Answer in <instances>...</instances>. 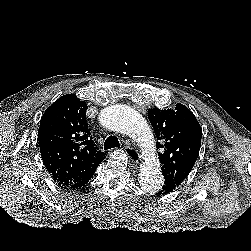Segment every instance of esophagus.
I'll return each mask as SVG.
<instances>
[{
  "mask_svg": "<svg viewBox=\"0 0 251 251\" xmlns=\"http://www.w3.org/2000/svg\"><path fill=\"white\" fill-rule=\"evenodd\" d=\"M124 150L128 156V158L133 162L138 164L139 160H140V155L138 153L137 150H135L133 147L131 146H125Z\"/></svg>",
  "mask_w": 251,
  "mask_h": 251,
  "instance_id": "esophagus-1",
  "label": "esophagus"
}]
</instances>
